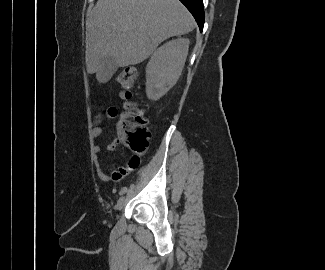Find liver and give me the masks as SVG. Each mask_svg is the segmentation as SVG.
<instances>
[{"label": "liver", "mask_w": 325, "mask_h": 270, "mask_svg": "<svg viewBox=\"0 0 325 270\" xmlns=\"http://www.w3.org/2000/svg\"><path fill=\"white\" fill-rule=\"evenodd\" d=\"M195 20L179 0H98L87 13L86 65L99 82L102 59L112 57L117 67L147 59L160 43L192 31Z\"/></svg>", "instance_id": "liver-1"}]
</instances>
